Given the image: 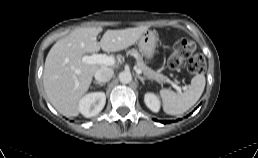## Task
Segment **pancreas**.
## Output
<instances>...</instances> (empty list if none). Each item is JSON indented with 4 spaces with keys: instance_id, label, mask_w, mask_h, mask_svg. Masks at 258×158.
<instances>
[{
    "instance_id": "pancreas-1",
    "label": "pancreas",
    "mask_w": 258,
    "mask_h": 158,
    "mask_svg": "<svg viewBox=\"0 0 258 158\" xmlns=\"http://www.w3.org/2000/svg\"><path fill=\"white\" fill-rule=\"evenodd\" d=\"M127 55L133 56L136 58V67L142 71V73L148 78L155 80L159 83L164 82L166 77L159 72H156L149 68L143 61L142 56L139 54L137 50H129Z\"/></svg>"
}]
</instances>
